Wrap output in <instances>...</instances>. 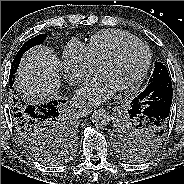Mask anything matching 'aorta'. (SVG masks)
Masks as SVG:
<instances>
[{
	"label": "aorta",
	"mask_w": 184,
	"mask_h": 184,
	"mask_svg": "<svg viewBox=\"0 0 184 184\" xmlns=\"http://www.w3.org/2000/svg\"><path fill=\"white\" fill-rule=\"evenodd\" d=\"M91 121L96 127H104L110 122V115L104 109L95 110L91 115Z\"/></svg>",
	"instance_id": "1"
}]
</instances>
